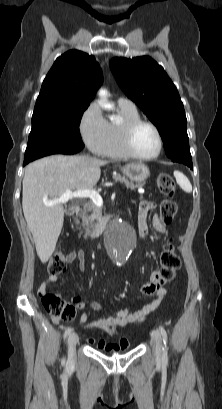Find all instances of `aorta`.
<instances>
[{
    "label": "aorta",
    "mask_w": 222,
    "mask_h": 409,
    "mask_svg": "<svg viewBox=\"0 0 222 409\" xmlns=\"http://www.w3.org/2000/svg\"><path fill=\"white\" fill-rule=\"evenodd\" d=\"M106 91H100V96H105ZM105 108L110 106L105 105ZM134 231L133 228L124 221H114L111 223L107 233V243L111 254L116 259L128 257L133 249Z\"/></svg>",
    "instance_id": "obj_1"
}]
</instances>
